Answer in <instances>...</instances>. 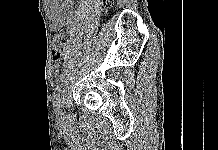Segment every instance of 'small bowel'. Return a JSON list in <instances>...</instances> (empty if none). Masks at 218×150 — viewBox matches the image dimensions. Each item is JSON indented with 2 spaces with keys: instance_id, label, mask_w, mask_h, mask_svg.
Here are the masks:
<instances>
[{
  "instance_id": "1",
  "label": "small bowel",
  "mask_w": 218,
  "mask_h": 150,
  "mask_svg": "<svg viewBox=\"0 0 218 150\" xmlns=\"http://www.w3.org/2000/svg\"><path fill=\"white\" fill-rule=\"evenodd\" d=\"M52 17V24L54 29H59L68 24L74 14L75 6L74 0H49Z\"/></svg>"
}]
</instances>
